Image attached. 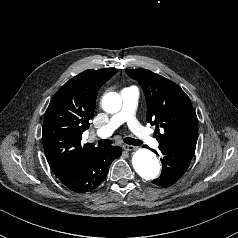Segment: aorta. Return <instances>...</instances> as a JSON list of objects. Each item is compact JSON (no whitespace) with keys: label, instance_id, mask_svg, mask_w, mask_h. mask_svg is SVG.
I'll list each match as a JSON object with an SVG mask.
<instances>
[{"label":"aorta","instance_id":"762f6f07","mask_svg":"<svg viewBox=\"0 0 238 238\" xmlns=\"http://www.w3.org/2000/svg\"><path fill=\"white\" fill-rule=\"evenodd\" d=\"M122 100L118 93L109 92L103 96L102 107L108 113H116L121 109ZM135 171L145 180H153L160 173V164L155 154L148 149L137 150L132 157Z\"/></svg>","mask_w":238,"mask_h":238}]
</instances>
